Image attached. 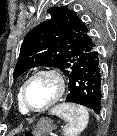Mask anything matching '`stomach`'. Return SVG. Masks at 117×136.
Wrapping results in <instances>:
<instances>
[{
  "instance_id": "stomach-1",
  "label": "stomach",
  "mask_w": 117,
  "mask_h": 136,
  "mask_svg": "<svg viewBox=\"0 0 117 136\" xmlns=\"http://www.w3.org/2000/svg\"><path fill=\"white\" fill-rule=\"evenodd\" d=\"M53 122L48 118H42L37 123L35 130L33 131V134L35 136H41L43 134L50 133L53 130Z\"/></svg>"
}]
</instances>
